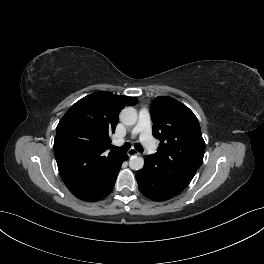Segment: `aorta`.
Instances as JSON below:
<instances>
[{
	"mask_svg": "<svg viewBox=\"0 0 264 264\" xmlns=\"http://www.w3.org/2000/svg\"><path fill=\"white\" fill-rule=\"evenodd\" d=\"M120 121L125 125H134L137 122L138 114L133 107L124 108L120 115ZM144 166V159L139 156H132L129 160V167L133 170H140Z\"/></svg>",
	"mask_w": 264,
	"mask_h": 264,
	"instance_id": "1",
	"label": "aorta"
}]
</instances>
